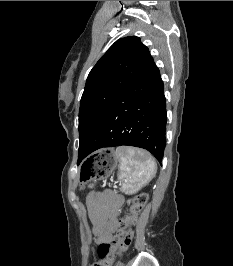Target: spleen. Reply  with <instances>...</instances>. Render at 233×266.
Wrapping results in <instances>:
<instances>
[{
    "mask_svg": "<svg viewBox=\"0 0 233 266\" xmlns=\"http://www.w3.org/2000/svg\"><path fill=\"white\" fill-rule=\"evenodd\" d=\"M114 155L119 159V179L123 181L121 190L127 194L139 191L156 174L155 161L142 150L119 147Z\"/></svg>",
    "mask_w": 233,
    "mask_h": 266,
    "instance_id": "spleen-1",
    "label": "spleen"
}]
</instances>
